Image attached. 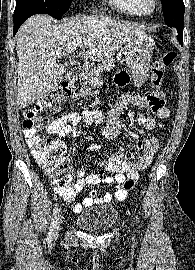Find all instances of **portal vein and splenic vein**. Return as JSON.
Listing matches in <instances>:
<instances>
[{"label": "portal vein and splenic vein", "mask_w": 195, "mask_h": 270, "mask_svg": "<svg viewBox=\"0 0 195 270\" xmlns=\"http://www.w3.org/2000/svg\"><path fill=\"white\" fill-rule=\"evenodd\" d=\"M82 43V39L77 40V45H81Z\"/></svg>", "instance_id": "obj_1"}]
</instances>
